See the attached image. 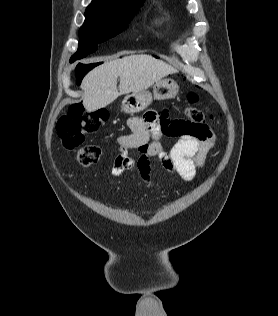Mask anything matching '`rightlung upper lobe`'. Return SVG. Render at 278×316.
Segmentation results:
<instances>
[{
    "label": "right lung upper lobe",
    "mask_w": 278,
    "mask_h": 316,
    "mask_svg": "<svg viewBox=\"0 0 278 316\" xmlns=\"http://www.w3.org/2000/svg\"><path fill=\"white\" fill-rule=\"evenodd\" d=\"M144 0H93L89 6L99 7H122L133 6L142 3Z\"/></svg>",
    "instance_id": "cb5924a9"
}]
</instances>
